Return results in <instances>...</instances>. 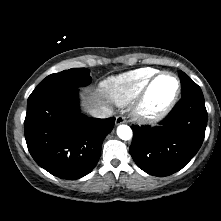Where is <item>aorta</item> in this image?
I'll use <instances>...</instances> for the list:
<instances>
[{"label": "aorta", "mask_w": 221, "mask_h": 221, "mask_svg": "<svg viewBox=\"0 0 221 221\" xmlns=\"http://www.w3.org/2000/svg\"><path fill=\"white\" fill-rule=\"evenodd\" d=\"M117 135L122 140H130L132 138V130L128 125H119L117 127Z\"/></svg>", "instance_id": "1"}]
</instances>
